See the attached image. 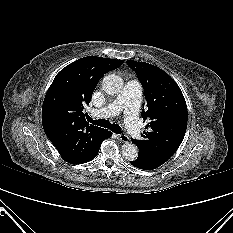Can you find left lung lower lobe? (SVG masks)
<instances>
[{"label":"left lung lower lobe","instance_id":"obj_1","mask_svg":"<svg viewBox=\"0 0 233 233\" xmlns=\"http://www.w3.org/2000/svg\"><path fill=\"white\" fill-rule=\"evenodd\" d=\"M131 164L134 167L144 169V170H153V169H156L157 167L162 165V164L157 163L154 160H151V159L143 156L140 153L138 154L137 159H135L134 161H131Z\"/></svg>","mask_w":233,"mask_h":233}]
</instances>
